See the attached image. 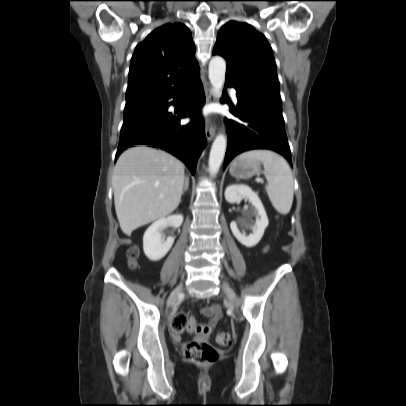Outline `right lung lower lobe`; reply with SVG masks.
I'll list each match as a JSON object with an SVG mask.
<instances>
[{
	"instance_id": "right-lung-lower-lobe-1",
	"label": "right lung lower lobe",
	"mask_w": 406,
	"mask_h": 406,
	"mask_svg": "<svg viewBox=\"0 0 406 406\" xmlns=\"http://www.w3.org/2000/svg\"><path fill=\"white\" fill-rule=\"evenodd\" d=\"M171 98L184 99L182 108L174 113L168 112V107L175 103L168 102ZM161 100L164 106L157 120L121 132L116 157L127 148L148 145L174 155L187 164L194 175L197 160L206 144L204 122L200 115L205 103L200 75ZM186 117L191 118L190 123L181 126L180 119Z\"/></svg>"
}]
</instances>
